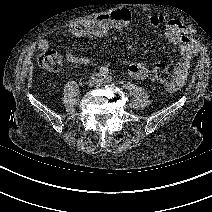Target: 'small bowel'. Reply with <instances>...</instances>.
I'll return each instance as SVG.
<instances>
[{"instance_id": "obj_1", "label": "small bowel", "mask_w": 212, "mask_h": 212, "mask_svg": "<svg viewBox=\"0 0 212 212\" xmlns=\"http://www.w3.org/2000/svg\"><path fill=\"white\" fill-rule=\"evenodd\" d=\"M133 14L132 9L120 7L109 13H102L95 18L72 23L67 26L66 32L77 37L101 39L113 30H120L126 27L130 23ZM150 23L153 26L167 23L165 29L166 39L178 48L179 59L173 70V80L168 86L169 91H175L183 86L187 78L191 59L197 54L196 43L187 34V23L181 19L172 18L167 20L163 15H152ZM38 48L42 51L47 50L49 48L48 40L40 39ZM65 58L69 63L77 65H88L91 63L89 57L76 55L71 51L65 52ZM128 71L135 79H144L148 76L149 65L144 61L132 62L128 65Z\"/></svg>"}]
</instances>
